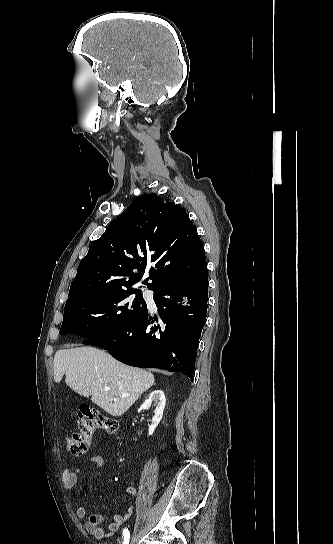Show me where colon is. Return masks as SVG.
Masks as SVG:
<instances>
[{"instance_id":"5ec220e1","label":"colon","mask_w":333,"mask_h":544,"mask_svg":"<svg viewBox=\"0 0 333 544\" xmlns=\"http://www.w3.org/2000/svg\"><path fill=\"white\" fill-rule=\"evenodd\" d=\"M96 429L115 433L118 429V422L96 409L88 406L82 407L78 414L75 431L66 438L68 451L75 456L83 455L87 451Z\"/></svg>"}]
</instances>
